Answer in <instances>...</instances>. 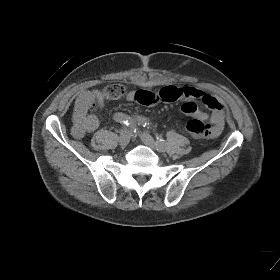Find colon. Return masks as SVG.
<instances>
[{"mask_svg": "<svg viewBox=\"0 0 280 280\" xmlns=\"http://www.w3.org/2000/svg\"><path fill=\"white\" fill-rule=\"evenodd\" d=\"M124 94L125 88L121 84L109 85L100 93L101 97L109 99H118L123 97ZM186 129L195 137L206 138L217 134V130L214 126L196 118L187 122Z\"/></svg>", "mask_w": 280, "mask_h": 280, "instance_id": "1", "label": "colon"}]
</instances>
